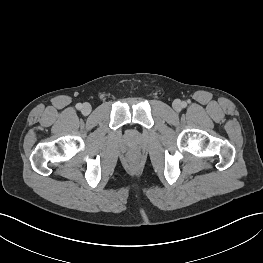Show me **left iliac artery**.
Returning <instances> with one entry per match:
<instances>
[{"label": "left iliac artery", "mask_w": 263, "mask_h": 263, "mask_svg": "<svg viewBox=\"0 0 263 263\" xmlns=\"http://www.w3.org/2000/svg\"><path fill=\"white\" fill-rule=\"evenodd\" d=\"M182 107H183V108L186 107V103H185V102L182 103Z\"/></svg>", "instance_id": "left-iliac-artery-1"}]
</instances>
